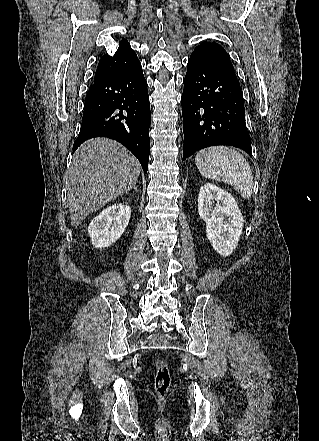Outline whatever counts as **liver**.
I'll list each match as a JSON object with an SVG mask.
<instances>
[{"mask_svg": "<svg viewBox=\"0 0 319 441\" xmlns=\"http://www.w3.org/2000/svg\"><path fill=\"white\" fill-rule=\"evenodd\" d=\"M138 160L121 144L107 138L84 142L67 174V205L73 226L135 187Z\"/></svg>", "mask_w": 319, "mask_h": 441, "instance_id": "1", "label": "liver"}]
</instances>
